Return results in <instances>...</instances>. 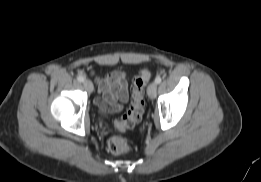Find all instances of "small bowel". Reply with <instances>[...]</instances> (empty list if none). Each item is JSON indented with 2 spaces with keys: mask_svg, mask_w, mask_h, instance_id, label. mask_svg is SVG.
<instances>
[{
  "mask_svg": "<svg viewBox=\"0 0 261 182\" xmlns=\"http://www.w3.org/2000/svg\"><path fill=\"white\" fill-rule=\"evenodd\" d=\"M100 96L95 103L102 113L120 112L129 100V80L123 71L115 70L97 78Z\"/></svg>",
  "mask_w": 261,
  "mask_h": 182,
  "instance_id": "small-bowel-1",
  "label": "small bowel"
}]
</instances>
